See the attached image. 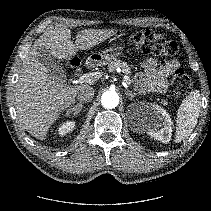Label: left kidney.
I'll return each mask as SVG.
<instances>
[{
  "label": "left kidney",
  "mask_w": 211,
  "mask_h": 211,
  "mask_svg": "<svg viewBox=\"0 0 211 211\" xmlns=\"http://www.w3.org/2000/svg\"><path fill=\"white\" fill-rule=\"evenodd\" d=\"M151 108V114L147 120V133L154 139L167 144L172 136V121L170 115L159 105L153 104Z\"/></svg>",
  "instance_id": "obj_1"
}]
</instances>
